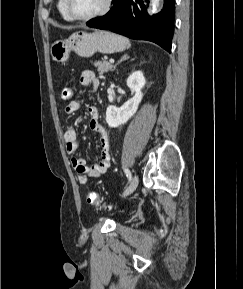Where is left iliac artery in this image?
Returning <instances> with one entry per match:
<instances>
[{"instance_id": "left-iliac-artery-1", "label": "left iliac artery", "mask_w": 243, "mask_h": 289, "mask_svg": "<svg viewBox=\"0 0 243 289\" xmlns=\"http://www.w3.org/2000/svg\"><path fill=\"white\" fill-rule=\"evenodd\" d=\"M125 174H126V176H127L128 180L130 181V180H131V178H132V175H131V172H130V170H129V169H125Z\"/></svg>"}]
</instances>
